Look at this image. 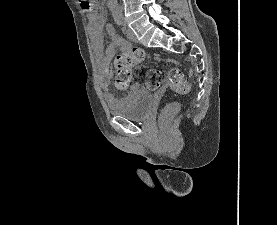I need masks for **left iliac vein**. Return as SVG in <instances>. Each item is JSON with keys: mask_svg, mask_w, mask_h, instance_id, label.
I'll return each mask as SVG.
<instances>
[{"mask_svg": "<svg viewBox=\"0 0 277 225\" xmlns=\"http://www.w3.org/2000/svg\"><path fill=\"white\" fill-rule=\"evenodd\" d=\"M125 34H126L127 38H129L131 41H133V42L138 41L136 35L134 34V32L131 29H126Z\"/></svg>", "mask_w": 277, "mask_h": 225, "instance_id": "1", "label": "left iliac vein"}]
</instances>
